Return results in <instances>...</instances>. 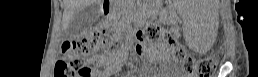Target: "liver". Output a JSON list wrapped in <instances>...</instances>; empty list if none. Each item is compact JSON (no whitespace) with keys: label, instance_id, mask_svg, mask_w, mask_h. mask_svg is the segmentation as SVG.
Returning <instances> with one entry per match:
<instances>
[{"label":"liver","instance_id":"obj_1","mask_svg":"<svg viewBox=\"0 0 258 77\" xmlns=\"http://www.w3.org/2000/svg\"><path fill=\"white\" fill-rule=\"evenodd\" d=\"M64 11L62 17V23L65 28L68 27L70 20L72 19L74 13L88 5L99 2V0H64Z\"/></svg>","mask_w":258,"mask_h":77}]
</instances>
